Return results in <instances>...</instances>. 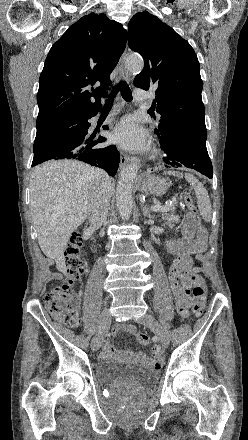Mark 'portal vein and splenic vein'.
I'll return each instance as SVG.
<instances>
[{
    "instance_id": "1",
    "label": "portal vein and splenic vein",
    "mask_w": 248,
    "mask_h": 440,
    "mask_svg": "<svg viewBox=\"0 0 248 440\" xmlns=\"http://www.w3.org/2000/svg\"><path fill=\"white\" fill-rule=\"evenodd\" d=\"M170 206L171 205H169V204L161 205V204L157 203L151 207V210L153 212H166L171 209Z\"/></svg>"
}]
</instances>
